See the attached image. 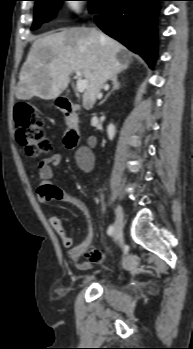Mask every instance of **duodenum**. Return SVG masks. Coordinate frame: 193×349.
Segmentation results:
<instances>
[{
	"mask_svg": "<svg viewBox=\"0 0 193 349\" xmlns=\"http://www.w3.org/2000/svg\"><path fill=\"white\" fill-rule=\"evenodd\" d=\"M58 108L66 119L67 131L64 135V143L67 148L75 149L80 141V128L77 121L76 105L73 101L59 98Z\"/></svg>",
	"mask_w": 193,
	"mask_h": 349,
	"instance_id": "1",
	"label": "duodenum"
}]
</instances>
